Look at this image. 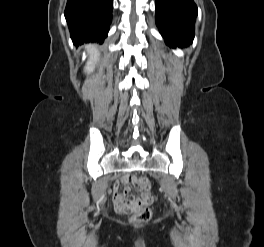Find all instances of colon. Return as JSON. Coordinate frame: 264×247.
<instances>
[{
	"label": "colon",
	"instance_id": "obj_1",
	"mask_svg": "<svg viewBox=\"0 0 264 247\" xmlns=\"http://www.w3.org/2000/svg\"><path fill=\"white\" fill-rule=\"evenodd\" d=\"M131 183L138 191L146 192L145 198L127 196L119 202V210L126 214H132L131 220L134 223H146L150 220L152 212L148 203L153 200L151 185L145 176H133Z\"/></svg>",
	"mask_w": 264,
	"mask_h": 247
}]
</instances>
